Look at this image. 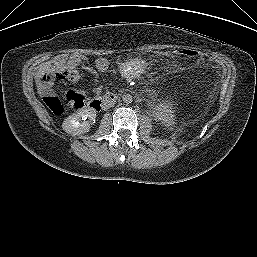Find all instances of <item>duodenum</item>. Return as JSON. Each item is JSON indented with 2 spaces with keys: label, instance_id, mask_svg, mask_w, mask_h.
Here are the masks:
<instances>
[{
  "label": "duodenum",
  "instance_id": "obj_1",
  "mask_svg": "<svg viewBox=\"0 0 257 257\" xmlns=\"http://www.w3.org/2000/svg\"><path fill=\"white\" fill-rule=\"evenodd\" d=\"M118 99V95L115 93H105L98 96L88 102V108L92 111L98 112L102 109L112 106Z\"/></svg>",
  "mask_w": 257,
  "mask_h": 257
}]
</instances>
